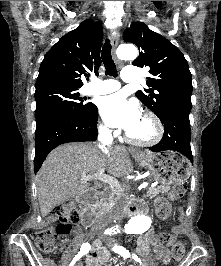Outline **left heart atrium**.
Here are the masks:
<instances>
[{"instance_id": "1", "label": "left heart atrium", "mask_w": 221, "mask_h": 266, "mask_svg": "<svg viewBox=\"0 0 221 266\" xmlns=\"http://www.w3.org/2000/svg\"><path fill=\"white\" fill-rule=\"evenodd\" d=\"M99 111L108 126L126 131L135 127L142 118L138 103L121 92L104 97Z\"/></svg>"}]
</instances>
